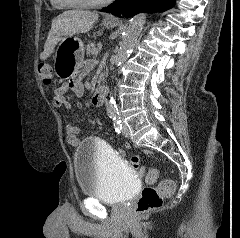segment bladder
<instances>
[{
  "label": "bladder",
  "mask_w": 240,
  "mask_h": 238,
  "mask_svg": "<svg viewBox=\"0 0 240 238\" xmlns=\"http://www.w3.org/2000/svg\"><path fill=\"white\" fill-rule=\"evenodd\" d=\"M73 163L79 190L87 197L116 205L129 200L137 189L134 169L110 146L94 138L79 144Z\"/></svg>",
  "instance_id": "1"
}]
</instances>
